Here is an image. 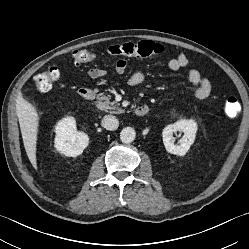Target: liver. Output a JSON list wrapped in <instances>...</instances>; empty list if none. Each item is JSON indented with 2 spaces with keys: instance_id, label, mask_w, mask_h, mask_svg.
I'll return each instance as SVG.
<instances>
[{
  "instance_id": "obj_1",
  "label": "liver",
  "mask_w": 249,
  "mask_h": 249,
  "mask_svg": "<svg viewBox=\"0 0 249 249\" xmlns=\"http://www.w3.org/2000/svg\"><path fill=\"white\" fill-rule=\"evenodd\" d=\"M16 110L26 154L32 166L37 169L36 146L39 126L37 110L22 96L17 99Z\"/></svg>"
}]
</instances>
